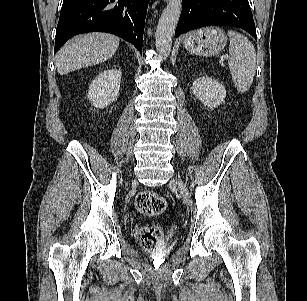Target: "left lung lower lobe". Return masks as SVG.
I'll use <instances>...</instances> for the list:
<instances>
[{
	"instance_id": "obj_1",
	"label": "left lung lower lobe",
	"mask_w": 307,
	"mask_h": 301,
	"mask_svg": "<svg viewBox=\"0 0 307 301\" xmlns=\"http://www.w3.org/2000/svg\"><path fill=\"white\" fill-rule=\"evenodd\" d=\"M208 25L239 27L257 40L248 0H183L175 36Z\"/></svg>"
}]
</instances>
